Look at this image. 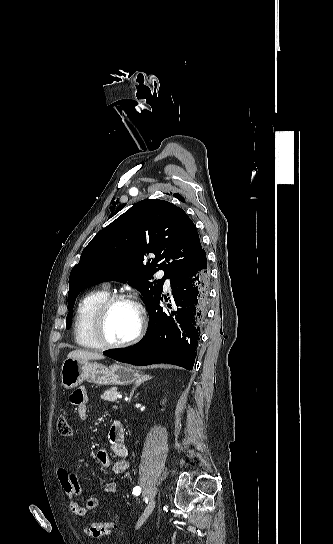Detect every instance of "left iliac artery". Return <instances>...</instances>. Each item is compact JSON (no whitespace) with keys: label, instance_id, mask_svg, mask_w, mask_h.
Segmentation results:
<instances>
[{"label":"left iliac artery","instance_id":"44dca946","mask_svg":"<svg viewBox=\"0 0 333 544\" xmlns=\"http://www.w3.org/2000/svg\"><path fill=\"white\" fill-rule=\"evenodd\" d=\"M140 492H141V488H140L139 486H136V487L133 488L132 493H133L134 495H139Z\"/></svg>","mask_w":333,"mask_h":544}]
</instances>
